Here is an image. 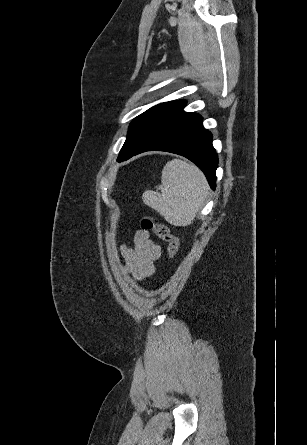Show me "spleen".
Returning a JSON list of instances; mask_svg holds the SVG:
<instances>
[{
	"label": "spleen",
	"instance_id": "3e777b00",
	"mask_svg": "<svg viewBox=\"0 0 307 445\" xmlns=\"http://www.w3.org/2000/svg\"><path fill=\"white\" fill-rule=\"evenodd\" d=\"M161 192L145 190L143 202L164 216L175 227H188L203 206L208 190L207 180L200 168L186 160L173 158L163 166Z\"/></svg>",
	"mask_w": 307,
	"mask_h": 445
}]
</instances>
